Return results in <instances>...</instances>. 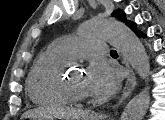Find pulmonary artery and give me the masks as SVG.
Masks as SVG:
<instances>
[{"label":"pulmonary artery","instance_id":"e3ab8cb5","mask_svg":"<svg viewBox=\"0 0 165 120\" xmlns=\"http://www.w3.org/2000/svg\"><path fill=\"white\" fill-rule=\"evenodd\" d=\"M53 46L69 59L87 57L93 54L107 53L106 45L101 41L64 36L57 39Z\"/></svg>","mask_w":165,"mask_h":120}]
</instances>
